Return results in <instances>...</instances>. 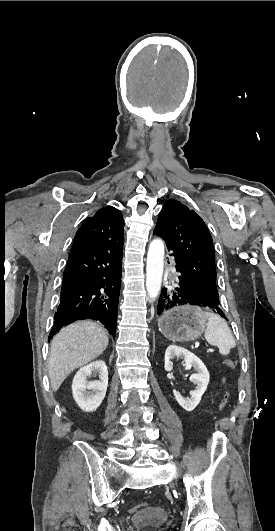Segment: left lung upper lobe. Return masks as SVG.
<instances>
[{"instance_id":"1","label":"left lung upper lobe","mask_w":275,"mask_h":531,"mask_svg":"<svg viewBox=\"0 0 275 531\" xmlns=\"http://www.w3.org/2000/svg\"><path fill=\"white\" fill-rule=\"evenodd\" d=\"M155 229L173 253L179 279L187 292L201 303L219 305L212 237L204 221L181 202H165Z\"/></svg>"}]
</instances>
